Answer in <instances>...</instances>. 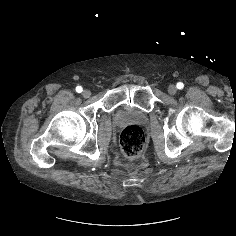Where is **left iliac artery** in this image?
I'll return each mask as SVG.
<instances>
[{"instance_id": "44dca946", "label": "left iliac artery", "mask_w": 236, "mask_h": 236, "mask_svg": "<svg viewBox=\"0 0 236 236\" xmlns=\"http://www.w3.org/2000/svg\"><path fill=\"white\" fill-rule=\"evenodd\" d=\"M176 87H177L179 90H181V89H183L184 84H183L182 82H178L177 85H176Z\"/></svg>"}]
</instances>
